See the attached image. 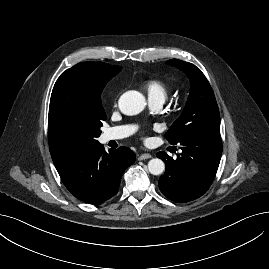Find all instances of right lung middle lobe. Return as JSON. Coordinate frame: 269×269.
Masks as SVG:
<instances>
[{
  "instance_id": "right-lung-middle-lobe-1",
  "label": "right lung middle lobe",
  "mask_w": 269,
  "mask_h": 269,
  "mask_svg": "<svg viewBox=\"0 0 269 269\" xmlns=\"http://www.w3.org/2000/svg\"><path fill=\"white\" fill-rule=\"evenodd\" d=\"M86 76L85 69L73 66L63 72L54 85L48 120L49 148L54 163L99 144L100 127L106 120L101 91L96 99L73 101L63 89L64 84Z\"/></svg>"
}]
</instances>
